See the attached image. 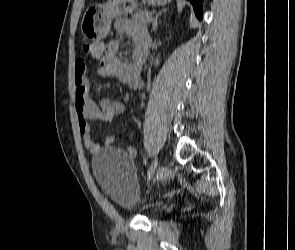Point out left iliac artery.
<instances>
[{
	"instance_id": "left-iliac-artery-1",
	"label": "left iliac artery",
	"mask_w": 295,
	"mask_h": 250,
	"mask_svg": "<svg viewBox=\"0 0 295 250\" xmlns=\"http://www.w3.org/2000/svg\"><path fill=\"white\" fill-rule=\"evenodd\" d=\"M156 167H157V160H155L148 169V173H147V181L148 182L153 177Z\"/></svg>"
}]
</instances>
